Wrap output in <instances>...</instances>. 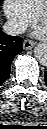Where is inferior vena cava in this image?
Wrapping results in <instances>:
<instances>
[{"label": "inferior vena cava", "mask_w": 47, "mask_h": 129, "mask_svg": "<svg viewBox=\"0 0 47 129\" xmlns=\"http://www.w3.org/2000/svg\"><path fill=\"white\" fill-rule=\"evenodd\" d=\"M3 31L9 35H18L25 32V27L16 21L8 20L3 25Z\"/></svg>", "instance_id": "inferior-vena-cava-1"}]
</instances>
